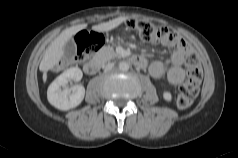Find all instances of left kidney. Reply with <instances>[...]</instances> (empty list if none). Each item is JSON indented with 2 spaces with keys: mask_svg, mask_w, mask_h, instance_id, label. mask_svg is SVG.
I'll use <instances>...</instances> for the list:
<instances>
[{
  "mask_svg": "<svg viewBox=\"0 0 238 158\" xmlns=\"http://www.w3.org/2000/svg\"><path fill=\"white\" fill-rule=\"evenodd\" d=\"M163 98L167 101L170 102L172 100V94L168 91L163 92Z\"/></svg>",
  "mask_w": 238,
  "mask_h": 158,
  "instance_id": "5707ae66",
  "label": "left kidney"
}]
</instances>
